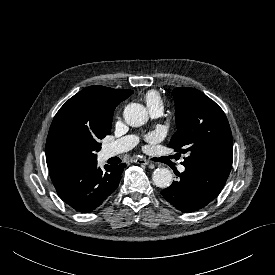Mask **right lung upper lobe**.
Wrapping results in <instances>:
<instances>
[{
    "mask_svg": "<svg viewBox=\"0 0 275 275\" xmlns=\"http://www.w3.org/2000/svg\"><path fill=\"white\" fill-rule=\"evenodd\" d=\"M133 90H115L100 85L89 86L71 97L57 112L46 141V162L49 170L59 165L53 155L56 140L65 133L84 136H106L111 133L115 107Z\"/></svg>",
    "mask_w": 275,
    "mask_h": 275,
    "instance_id": "obj_1",
    "label": "right lung upper lobe"
}]
</instances>
